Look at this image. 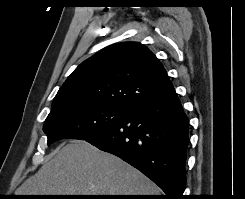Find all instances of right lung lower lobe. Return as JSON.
Masks as SVG:
<instances>
[{
  "label": "right lung lower lobe",
  "mask_w": 245,
  "mask_h": 199,
  "mask_svg": "<svg viewBox=\"0 0 245 199\" xmlns=\"http://www.w3.org/2000/svg\"><path fill=\"white\" fill-rule=\"evenodd\" d=\"M189 121L174 91L128 111L117 124L86 139L155 182L165 199H183Z\"/></svg>",
  "instance_id": "right-lung-lower-lobe-1"
}]
</instances>
